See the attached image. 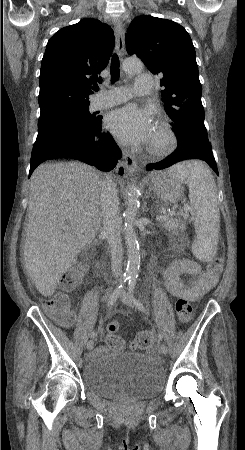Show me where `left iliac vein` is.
I'll use <instances>...</instances> for the list:
<instances>
[{
	"instance_id": "4c4485c4",
	"label": "left iliac vein",
	"mask_w": 245,
	"mask_h": 450,
	"mask_svg": "<svg viewBox=\"0 0 245 450\" xmlns=\"http://www.w3.org/2000/svg\"><path fill=\"white\" fill-rule=\"evenodd\" d=\"M120 299L125 305L132 306V300H131L129 294L125 290H123L121 292ZM159 351L161 354L166 355L168 352V348L164 343H161L159 346Z\"/></svg>"
}]
</instances>
